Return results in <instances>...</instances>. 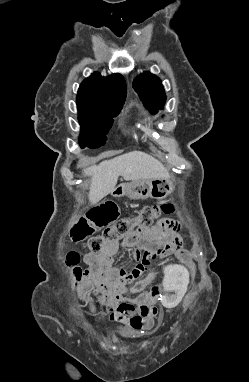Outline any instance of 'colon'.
Returning <instances> with one entry per match:
<instances>
[{
	"mask_svg": "<svg viewBox=\"0 0 249 382\" xmlns=\"http://www.w3.org/2000/svg\"><path fill=\"white\" fill-rule=\"evenodd\" d=\"M173 211L174 205L171 203L148 205L141 208L134 217L114 223L118 216V208L113 202H107L93 209L88 214L79 217L70 229V236L75 241H81L90 236L97 229L105 227L102 235L92 237L87 242L89 251L99 252L107 244L130 237L137 230L150 228L159 217ZM137 251L142 253L143 260L138 261L137 264L128 271V274L133 278H140L151 262L164 253L159 247H142ZM177 256L182 261H188L190 258L189 253L184 249H179ZM79 261L80 255L77 252H69L66 256V263L72 269L76 279H79L83 274L82 269L78 266ZM144 280L152 282L154 277L148 275L144 277ZM151 296L154 298L162 297L160 285L152 287ZM151 312L156 314L157 309L155 308V310Z\"/></svg>",
	"mask_w": 249,
	"mask_h": 382,
	"instance_id": "obj_1",
	"label": "colon"
}]
</instances>
